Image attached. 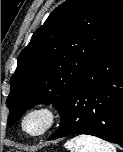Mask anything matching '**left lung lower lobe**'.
<instances>
[{"mask_svg":"<svg viewBox=\"0 0 123 152\" xmlns=\"http://www.w3.org/2000/svg\"><path fill=\"white\" fill-rule=\"evenodd\" d=\"M49 137H99L123 147V8L60 112Z\"/></svg>","mask_w":123,"mask_h":152,"instance_id":"1","label":"left lung lower lobe"}]
</instances>
